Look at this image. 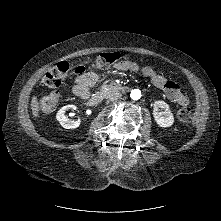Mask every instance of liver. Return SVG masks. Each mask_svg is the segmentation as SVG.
Masks as SVG:
<instances>
[{
    "label": "liver",
    "instance_id": "obj_1",
    "mask_svg": "<svg viewBox=\"0 0 221 221\" xmlns=\"http://www.w3.org/2000/svg\"><path fill=\"white\" fill-rule=\"evenodd\" d=\"M31 109H32V113L35 117H38V112H39V103H38V100H37V97L36 96H33L32 97V100H31Z\"/></svg>",
    "mask_w": 221,
    "mask_h": 221
}]
</instances>
